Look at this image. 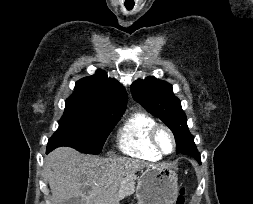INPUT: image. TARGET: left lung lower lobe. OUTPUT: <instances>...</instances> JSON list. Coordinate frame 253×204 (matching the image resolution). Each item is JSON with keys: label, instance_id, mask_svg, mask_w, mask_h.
Listing matches in <instances>:
<instances>
[{"label": "left lung lower lobe", "instance_id": "1", "mask_svg": "<svg viewBox=\"0 0 253 204\" xmlns=\"http://www.w3.org/2000/svg\"><path fill=\"white\" fill-rule=\"evenodd\" d=\"M186 155L194 157L199 163H201L200 154H199V152L197 151L196 148L194 150H192L191 152H189L188 154H186Z\"/></svg>", "mask_w": 253, "mask_h": 204}]
</instances>
